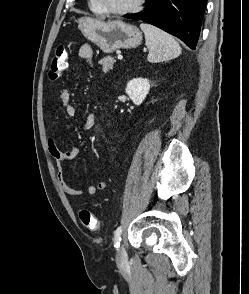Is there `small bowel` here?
I'll list each match as a JSON object with an SVG mask.
<instances>
[{"mask_svg": "<svg viewBox=\"0 0 249 294\" xmlns=\"http://www.w3.org/2000/svg\"><path fill=\"white\" fill-rule=\"evenodd\" d=\"M78 56L88 63H91L94 57V51L88 44L82 45L78 50ZM61 105L65 109L69 117H74L77 114L75 106L71 103V95L67 88H63L60 92ZM95 124L94 114H88L83 121L82 128L88 131L93 128ZM47 147L50 156L53 158L57 168V179L61 190L70 197H79L83 194V190L71 187L64 177V163L74 160L78 154L79 149L75 146L62 147L57 141L53 133V126L51 123L47 125ZM107 188L106 181H100L88 187L87 192L90 195L97 193Z\"/></svg>", "mask_w": 249, "mask_h": 294, "instance_id": "c3829d8e", "label": "small bowel"}]
</instances>
